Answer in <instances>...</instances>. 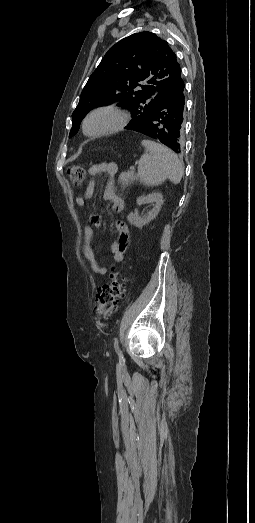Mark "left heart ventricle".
Returning <instances> with one entry per match:
<instances>
[{"mask_svg": "<svg viewBox=\"0 0 255 523\" xmlns=\"http://www.w3.org/2000/svg\"><path fill=\"white\" fill-rule=\"evenodd\" d=\"M115 122V119L108 115V114H98L95 117L91 119L89 122V129L90 130H103L107 127H110Z\"/></svg>", "mask_w": 255, "mask_h": 523, "instance_id": "left-heart-ventricle-1", "label": "left heart ventricle"}]
</instances>
